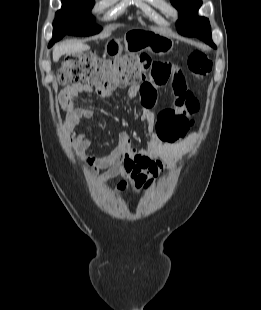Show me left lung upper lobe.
<instances>
[{"instance_id": "left-lung-upper-lobe-1", "label": "left lung upper lobe", "mask_w": 261, "mask_h": 310, "mask_svg": "<svg viewBox=\"0 0 261 310\" xmlns=\"http://www.w3.org/2000/svg\"><path fill=\"white\" fill-rule=\"evenodd\" d=\"M171 3L179 11L177 30L180 34L196 37L201 28L210 25L207 18L197 15L201 0H171Z\"/></svg>"}]
</instances>
